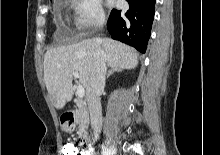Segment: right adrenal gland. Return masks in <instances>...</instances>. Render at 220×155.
<instances>
[{"mask_svg": "<svg viewBox=\"0 0 220 155\" xmlns=\"http://www.w3.org/2000/svg\"><path fill=\"white\" fill-rule=\"evenodd\" d=\"M119 71H121L120 68H118V67H112V68L109 70L108 74H107V79H108L114 72H119Z\"/></svg>", "mask_w": 220, "mask_h": 155, "instance_id": "obj_1", "label": "right adrenal gland"}]
</instances>
